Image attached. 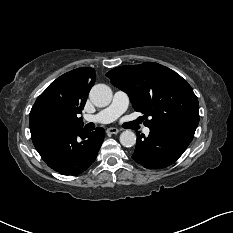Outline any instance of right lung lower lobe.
Wrapping results in <instances>:
<instances>
[{
    "instance_id": "1",
    "label": "right lung lower lobe",
    "mask_w": 233,
    "mask_h": 233,
    "mask_svg": "<svg viewBox=\"0 0 233 233\" xmlns=\"http://www.w3.org/2000/svg\"><path fill=\"white\" fill-rule=\"evenodd\" d=\"M33 144L45 163L62 175L84 172L96 159L104 140L105 131L98 127L94 132L82 126L46 129L30 128Z\"/></svg>"
}]
</instances>
